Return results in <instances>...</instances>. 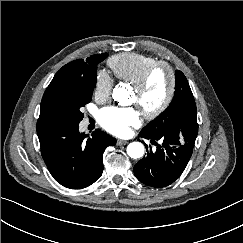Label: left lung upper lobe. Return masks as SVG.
Segmentation results:
<instances>
[{
    "label": "left lung upper lobe",
    "instance_id": "obj_1",
    "mask_svg": "<svg viewBox=\"0 0 243 243\" xmlns=\"http://www.w3.org/2000/svg\"><path fill=\"white\" fill-rule=\"evenodd\" d=\"M175 95L168 109L150 122L142 132L158 136L165 132L177 133L181 138L188 134L195 141L198 133L196 104L188 81L181 71H176Z\"/></svg>",
    "mask_w": 243,
    "mask_h": 243
}]
</instances>
